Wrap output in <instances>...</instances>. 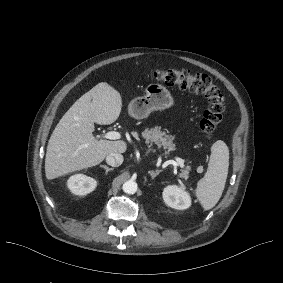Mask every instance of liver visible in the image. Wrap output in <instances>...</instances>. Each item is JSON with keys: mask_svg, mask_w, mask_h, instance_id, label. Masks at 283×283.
Masks as SVG:
<instances>
[{"mask_svg": "<svg viewBox=\"0 0 283 283\" xmlns=\"http://www.w3.org/2000/svg\"><path fill=\"white\" fill-rule=\"evenodd\" d=\"M120 110V96L105 83L97 84L77 99L60 119L48 141L46 177L54 178L94 166L112 153H123L126 149L124 142L93 136L94 121L113 123Z\"/></svg>", "mask_w": 283, "mask_h": 283, "instance_id": "1", "label": "liver"}]
</instances>
